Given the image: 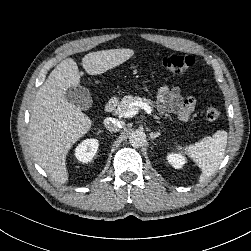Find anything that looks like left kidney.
<instances>
[{"instance_id": "5707ae66", "label": "left kidney", "mask_w": 251, "mask_h": 251, "mask_svg": "<svg viewBox=\"0 0 251 251\" xmlns=\"http://www.w3.org/2000/svg\"><path fill=\"white\" fill-rule=\"evenodd\" d=\"M167 160L176 169L182 168L186 163V158L176 153H168Z\"/></svg>"}]
</instances>
